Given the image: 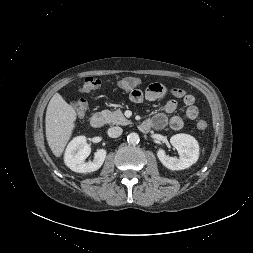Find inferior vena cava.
<instances>
[{
  "instance_id": "inferior-vena-cava-1",
  "label": "inferior vena cava",
  "mask_w": 253,
  "mask_h": 253,
  "mask_svg": "<svg viewBox=\"0 0 253 253\" xmlns=\"http://www.w3.org/2000/svg\"><path fill=\"white\" fill-rule=\"evenodd\" d=\"M123 130L121 127L115 126L108 129L109 137L116 138L122 134Z\"/></svg>"
}]
</instances>
